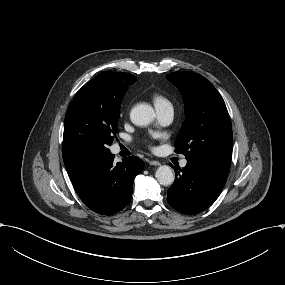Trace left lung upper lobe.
Returning <instances> with one entry per match:
<instances>
[{
    "mask_svg": "<svg viewBox=\"0 0 285 285\" xmlns=\"http://www.w3.org/2000/svg\"><path fill=\"white\" fill-rule=\"evenodd\" d=\"M166 78L181 92L186 115L175 141V152L184 154L187 161L229 169L232 128L218 91L195 72H173Z\"/></svg>",
    "mask_w": 285,
    "mask_h": 285,
    "instance_id": "obj_1",
    "label": "left lung upper lobe"
}]
</instances>
